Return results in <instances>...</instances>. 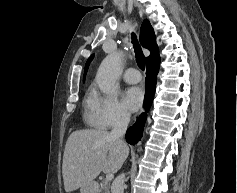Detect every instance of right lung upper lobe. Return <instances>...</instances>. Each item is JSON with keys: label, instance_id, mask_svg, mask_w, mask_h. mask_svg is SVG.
I'll return each mask as SVG.
<instances>
[{"label": "right lung upper lobe", "instance_id": "cb5924a9", "mask_svg": "<svg viewBox=\"0 0 237 193\" xmlns=\"http://www.w3.org/2000/svg\"><path fill=\"white\" fill-rule=\"evenodd\" d=\"M155 40H156V37L154 34V30L152 26L150 25V22L146 19L143 21L142 26H141L140 42L143 47L149 49L151 52L150 56L147 57V63L154 59L159 58V50H158V46ZM92 58H93V55L88 59L85 65L84 76L86 75L89 63L92 60Z\"/></svg>", "mask_w": 237, "mask_h": 193}]
</instances>
